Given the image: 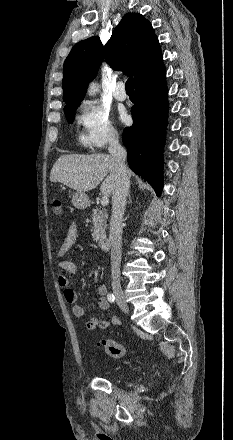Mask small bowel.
Masks as SVG:
<instances>
[{"label":"small bowel","mask_w":233,"mask_h":440,"mask_svg":"<svg viewBox=\"0 0 233 440\" xmlns=\"http://www.w3.org/2000/svg\"><path fill=\"white\" fill-rule=\"evenodd\" d=\"M77 233V224L76 222L71 221L66 228L64 239L56 254V261L60 270V273L57 276V283L63 289L65 301L72 306L73 315L77 318H81L85 315V308L78 304V296L76 292L71 288L69 279L62 273L67 272L70 275H76L78 273L76 264L65 258L66 254L77 241ZM96 290L99 294L98 306L102 311H106L110 306L107 298V288L104 284H99ZM118 325H120V319L117 316H112L108 320L93 317L85 322V327L88 330H95L97 328L104 330L110 326Z\"/></svg>","instance_id":"small-bowel-1"}]
</instances>
